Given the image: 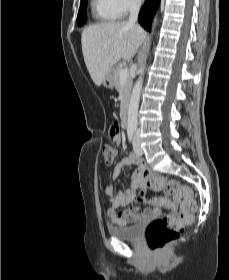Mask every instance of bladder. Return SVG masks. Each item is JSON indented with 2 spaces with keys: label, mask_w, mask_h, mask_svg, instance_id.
Segmentation results:
<instances>
[{
  "label": "bladder",
  "mask_w": 229,
  "mask_h": 280,
  "mask_svg": "<svg viewBox=\"0 0 229 280\" xmlns=\"http://www.w3.org/2000/svg\"><path fill=\"white\" fill-rule=\"evenodd\" d=\"M144 222L142 220L127 226L110 227L109 233L111 236L121 241H133L136 240L143 229Z\"/></svg>",
  "instance_id": "obj_1"
}]
</instances>
